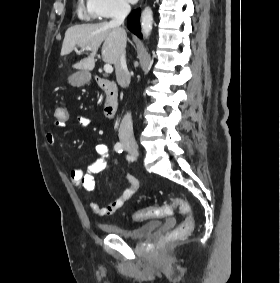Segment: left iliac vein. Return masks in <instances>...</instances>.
Masks as SVG:
<instances>
[{
	"label": "left iliac vein",
	"mask_w": 280,
	"mask_h": 283,
	"mask_svg": "<svg viewBox=\"0 0 280 283\" xmlns=\"http://www.w3.org/2000/svg\"><path fill=\"white\" fill-rule=\"evenodd\" d=\"M130 152V154H131V158L132 159H135L136 157H137V155H138V152L137 151H129Z\"/></svg>",
	"instance_id": "1"
}]
</instances>
